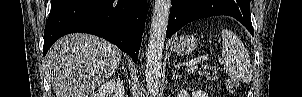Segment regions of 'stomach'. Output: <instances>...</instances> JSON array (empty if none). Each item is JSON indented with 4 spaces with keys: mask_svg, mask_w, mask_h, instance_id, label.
Here are the masks:
<instances>
[{
    "mask_svg": "<svg viewBox=\"0 0 302 97\" xmlns=\"http://www.w3.org/2000/svg\"><path fill=\"white\" fill-rule=\"evenodd\" d=\"M197 48V40L192 35L178 36L172 39L170 50L179 56L189 55Z\"/></svg>",
    "mask_w": 302,
    "mask_h": 97,
    "instance_id": "0dacf381",
    "label": "stomach"
}]
</instances>
